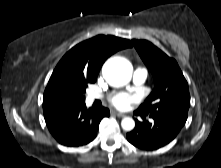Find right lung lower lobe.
Here are the masks:
<instances>
[{
	"instance_id": "obj_1",
	"label": "right lung lower lobe",
	"mask_w": 221,
	"mask_h": 168,
	"mask_svg": "<svg viewBox=\"0 0 221 168\" xmlns=\"http://www.w3.org/2000/svg\"><path fill=\"white\" fill-rule=\"evenodd\" d=\"M46 125L53 137L65 146H82L97 135L100 121L110 112L105 107L86 108L85 102L43 105Z\"/></svg>"
}]
</instances>
